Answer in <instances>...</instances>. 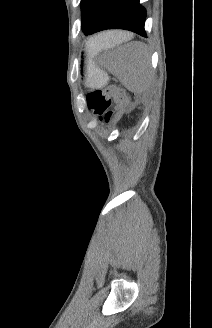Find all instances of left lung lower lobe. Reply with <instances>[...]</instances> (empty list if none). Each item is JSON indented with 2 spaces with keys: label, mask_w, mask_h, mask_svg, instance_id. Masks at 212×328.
Listing matches in <instances>:
<instances>
[{
  "label": "left lung lower lobe",
  "mask_w": 212,
  "mask_h": 328,
  "mask_svg": "<svg viewBox=\"0 0 212 328\" xmlns=\"http://www.w3.org/2000/svg\"><path fill=\"white\" fill-rule=\"evenodd\" d=\"M140 0H106L92 29L86 35L107 29H125L147 37L144 23L146 11Z\"/></svg>",
  "instance_id": "1"
}]
</instances>
